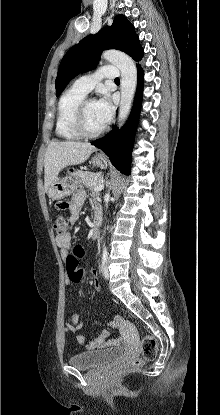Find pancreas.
Returning <instances> with one entry per match:
<instances>
[{
    "mask_svg": "<svg viewBox=\"0 0 220 415\" xmlns=\"http://www.w3.org/2000/svg\"><path fill=\"white\" fill-rule=\"evenodd\" d=\"M79 176L81 182L90 189H94L100 183H103V175L101 173H93L89 171H80Z\"/></svg>",
    "mask_w": 220,
    "mask_h": 415,
    "instance_id": "pancreas-1",
    "label": "pancreas"
}]
</instances>
